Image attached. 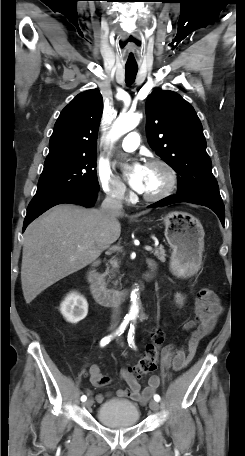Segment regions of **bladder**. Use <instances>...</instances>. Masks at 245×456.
<instances>
[{"label": "bladder", "mask_w": 245, "mask_h": 456, "mask_svg": "<svg viewBox=\"0 0 245 456\" xmlns=\"http://www.w3.org/2000/svg\"><path fill=\"white\" fill-rule=\"evenodd\" d=\"M97 420L110 428H129L140 421V409L123 399H111L101 404L96 412Z\"/></svg>", "instance_id": "31cf9c89"}]
</instances>
